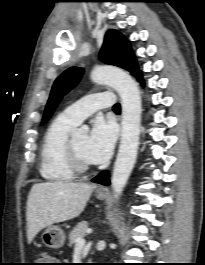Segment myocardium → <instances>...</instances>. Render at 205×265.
I'll list each match as a JSON object with an SVG mask.
<instances>
[{
    "instance_id": "myocardium-1",
    "label": "myocardium",
    "mask_w": 205,
    "mask_h": 265,
    "mask_svg": "<svg viewBox=\"0 0 205 265\" xmlns=\"http://www.w3.org/2000/svg\"><path fill=\"white\" fill-rule=\"evenodd\" d=\"M67 153L69 164L74 172L85 173L91 169V164L83 161L78 155L74 145L73 137L69 138L68 140Z\"/></svg>"
}]
</instances>
